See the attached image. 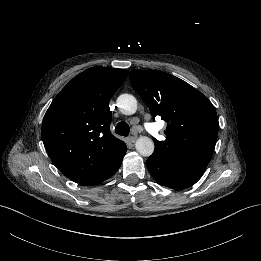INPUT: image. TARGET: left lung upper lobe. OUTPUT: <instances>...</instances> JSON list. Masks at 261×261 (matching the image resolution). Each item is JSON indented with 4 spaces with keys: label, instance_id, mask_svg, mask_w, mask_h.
<instances>
[{
    "label": "left lung upper lobe",
    "instance_id": "5c2ea615",
    "mask_svg": "<svg viewBox=\"0 0 261 261\" xmlns=\"http://www.w3.org/2000/svg\"><path fill=\"white\" fill-rule=\"evenodd\" d=\"M130 82L153 117L167 121L166 139L154 152L207 166L215 148L218 118L209 99L185 81L159 70H132Z\"/></svg>",
    "mask_w": 261,
    "mask_h": 261
}]
</instances>
